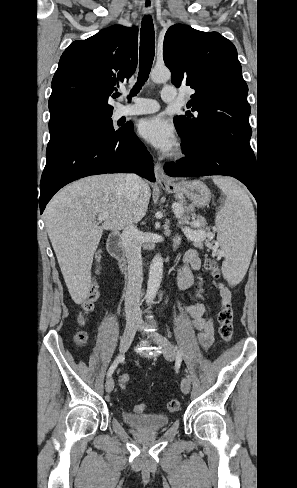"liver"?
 I'll use <instances>...</instances> for the list:
<instances>
[{
	"label": "liver",
	"mask_w": 297,
	"mask_h": 488,
	"mask_svg": "<svg viewBox=\"0 0 297 488\" xmlns=\"http://www.w3.org/2000/svg\"><path fill=\"white\" fill-rule=\"evenodd\" d=\"M126 174L95 175L60 190L44 213L47 233L69 293L76 304L89 295L93 256L104 230L139 222L146 214L151 192L144 182L132 199ZM107 212L102 225L96 217Z\"/></svg>",
	"instance_id": "liver-1"
}]
</instances>
